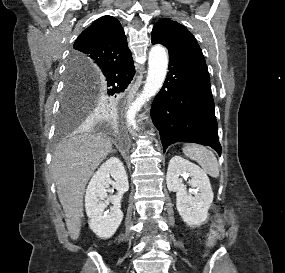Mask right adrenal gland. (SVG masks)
I'll return each mask as SVG.
<instances>
[{
  "mask_svg": "<svg viewBox=\"0 0 285 273\" xmlns=\"http://www.w3.org/2000/svg\"><path fill=\"white\" fill-rule=\"evenodd\" d=\"M115 152H116V150H113V151H112V153H115Z\"/></svg>",
  "mask_w": 285,
  "mask_h": 273,
  "instance_id": "2a0ac1e0",
  "label": "right adrenal gland"
}]
</instances>
